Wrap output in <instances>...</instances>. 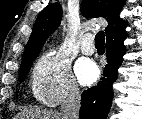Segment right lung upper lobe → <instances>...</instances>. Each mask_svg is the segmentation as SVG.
I'll return each mask as SVG.
<instances>
[{
    "label": "right lung upper lobe",
    "mask_w": 142,
    "mask_h": 119,
    "mask_svg": "<svg viewBox=\"0 0 142 119\" xmlns=\"http://www.w3.org/2000/svg\"><path fill=\"white\" fill-rule=\"evenodd\" d=\"M124 4L125 0H83L81 12L86 18H105L108 21L105 33L109 40L126 34L127 23L119 17ZM61 17L59 3H51L39 13L23 53L22 65L38 56L48 36L59 26Z\"/></svg>",
    "instance_id": "obj_1"
}]
</instances>
